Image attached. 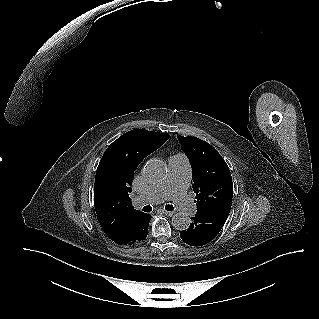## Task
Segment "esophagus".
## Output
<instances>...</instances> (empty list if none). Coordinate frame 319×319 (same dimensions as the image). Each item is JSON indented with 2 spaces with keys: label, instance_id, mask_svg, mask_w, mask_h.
Listing matches in <instances>:
<instances>
[{
  "label": "esophagus",
  "instance_id": "obj_1",
  "mask_svg": "<svg viewBox=\"0 0 319 319\" xmlns=\"http://www.w3.org/2000/svg\"><path fill=\"white\" fill-rule=\"evenodd\" d=\"M161 212L167 216H172L174 214L173 211H166V210H161Z\"/></svg>",
  "mask_w": 319,
  "mask_h": 319
}]
</instances>
